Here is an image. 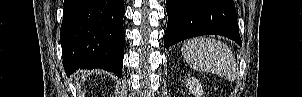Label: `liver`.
<instances>
[{
	"instance_id": "6515ba94",
	"label": "liver",
	"mask_w": 302,
	"mask_h": 97,
	"mask_svg": "<svg viewBox=\"0 0 302 97\" xmlns=\"http://www.w3.org/2000/svg\"><path fill=\"white\" fill-rule=\"evenodd\" d=\"M86 78V74L81 72V73H77V80L81 79V80H85Z\"/></svg>"
}]
</instances>
